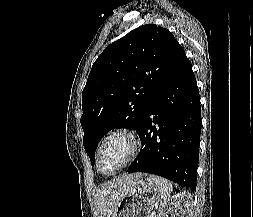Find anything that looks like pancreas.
Returning <instances> with one entry per match:
<instances>
[{
    "mask_svg": "<svg viewBox=\"0 0 253 217\" xmlns=\"http://www.w3.org/2000/svg\"><path fill=\"white\" fill-rule=\"evenodd\" d=\"M147 217H156L155 212H151Z\"/></svg>",
    "mask_w": 253,
    "mask_h": 217,
    "instance_id": "obj_1",
    "label": "pancreas"
}]
</instances>
